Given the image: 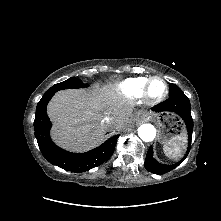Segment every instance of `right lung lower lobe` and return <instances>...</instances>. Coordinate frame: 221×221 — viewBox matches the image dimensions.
Wrapping results in <instances>:
<instances>
[{
  "label": "right lung lower lobe",
  "instance_id": "obj_1",
  "mask_svg": "<svg viewBox=\"0 0 221 221\" xmlns=\"http://www.w3.org/2000/svg\"><path fill=\"white\" fill-rule=\"evenodd\" d=\"M54 93H45L38 102L34 120L35 137L39 148L51 164L57 165L67 171L84 172L99 166L108 160L115 149L119 135L109 138L101 146L82 154L67 152L56 146L50 138L51 122L46 107Z\"/></svg>",
  "mask_w": 221,
  "mask_h": 221
}]
</instances>
